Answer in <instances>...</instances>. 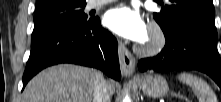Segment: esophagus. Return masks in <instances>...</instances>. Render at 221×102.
I'll list each match as a JSON object with an SVG mask.
<instances>
[{
    "mask_svg": "<svg viewBox=\"0 0 221 102\" xmlns=\"http://www.w3.org/2000/svg\"><path fill=\"white\" fill-rule=\"evenodd\" d=\"M118 53L122 74L126 77L133 76L136 61L133 55L122 42H119L118 44Z\"/></svg>",
    "mask_w": 221,
    "mask_h": 102,
    "instance_id": "1",
    "label": "esophagus"
}]
</instances>
